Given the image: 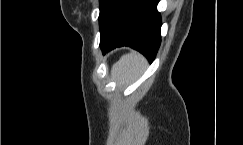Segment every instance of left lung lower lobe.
<instances>
[{"mask_svg": "<svg viewBox=\"0 0 243 145\" xmlns=\"http://www.w3.org/2000/svg\"><path fill=\"white\" fill-rule=\"evenodd\" d=\"M159 0H129L106 34L101 35L103 54L129 46L152 62L161 42V17L156 9Z\"/></svg>", "mask_w": 243, "mask_h": 145, "instance_id": "1", "label": "left lung lower lobe"}]
</instances>
